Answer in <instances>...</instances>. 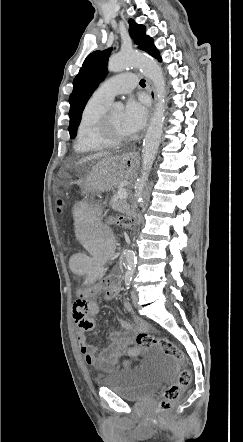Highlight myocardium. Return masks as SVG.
Returning <instances> with one entry per match:
<instances>
[{
  "label": "myocardium",
  "instance_id": "f54148a6",
  "mask_svg": "<svg viewBox=\"0 0 243 442\" xmlns=\"http://www.w3.org/2000/svg\"><path fill=\"white\" fill-rule=\"evenodd\" d=\"M109 113H105L100 119L97 127L98 139L105 145L113 147L126 143L129 140V136L118 137L112 133Z\"/></svg>",
  "mask_w": 243,
  "mask_h": 442
}]
</instances>
